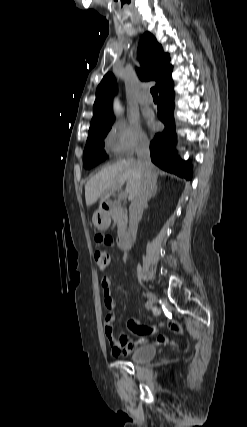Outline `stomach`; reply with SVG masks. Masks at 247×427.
<instances>
[{
    "mask_svg": "<svg viewBox=\"0 0 247 427\" xmlns=\"http://www.w3.org/2000/svg\"><path fill=\"white\" fill-rule=\"evenodd\" d=\"M92 220L98 230H106L111 223L109 212L102 208L94 213Z\"/></svg>",
    "mask_w": 247,
    "mask_h": 427,
    "instance_id": "obj_1",
    "label": "stomach"
}]
</instances>
